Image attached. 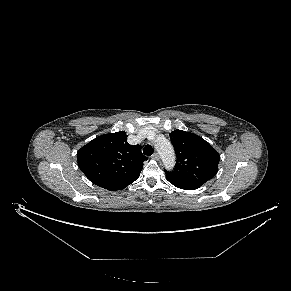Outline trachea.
<instances>
[{"label":"trachea","mask_w":291,"mask_h":291,"mask_svg":"<svg viewBox=\"0 0 291 291\" xmlns=\"http://www.w3.org/2000/svg\"><path fill=\"white\" fill-rule=\"evenodd\" d=\"M143 153L144 155L146 156H151L152 153H153V148L151 145H146L144 148H143Z\"/></svg>","instance_id":"obj_1"}]
</instances>
